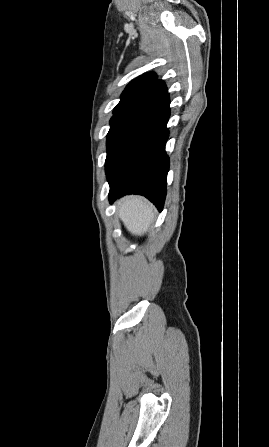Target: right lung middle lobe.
I'll use <instances>...</instances> for the list:
<instances>
[{"label": "right lung middle lobe", "mask_w": 269, "mask_h": 447, "mask_svg": "<svg viewBox=\"0 0 269 447\" xmlns=\"http://www.w3.org/2000/svg\"><path fill=\"white\" fill-rule=\"evenodd\" d=\"M128 114L127 113H114V116L111 118L110 120V130L108 132V137L110 136V134L113 132V130L115 129V127L118 125V123L124 118L126 117Z\"/></svg>", "instance_id": "dd1d6c3e"}]
</instances>
